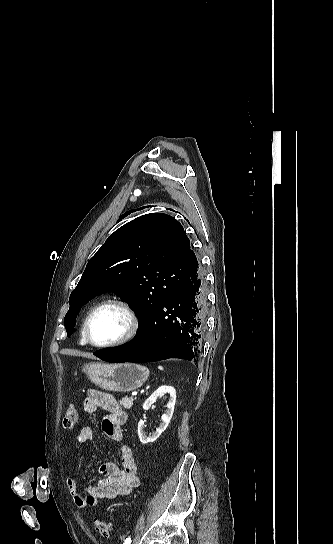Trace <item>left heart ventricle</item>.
Wrapping results in <instances>:
<instances>
[{
    "mask_svg": "<svg viewBox=\"0 0 333 544\" xmlns=\"http://www.w3.org/2000/svg\"><path fill=\"white\" fill-rule=\"evenodd\" d=\"M128 317L116 305L100 308L92 317L89 333L96 343H108L120 338L127 330Z\"/></svg>",
    "mask_w": 333,
    "mask_h": 544,
    "instance_id": "1",
    "label": "left heart ventricle"
}]
</instances>
